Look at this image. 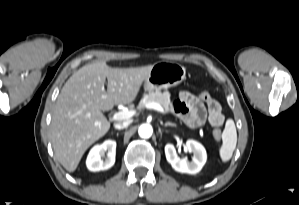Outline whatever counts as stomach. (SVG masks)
I'll use <instances>...</instances> for the list:
<instances>
[{
    "label": "stomach",
    "instance_id": "obj_1",
    "mask_svg": "<svg viewBox=\"0 0 299 205\" xmlns=\"http://www.w3.org/2000/svg\"><path fill=\"white\" fill-rule=\"evenodd\" d=\"M186 76L184 66L172 62H157L145 79V91L152 92L179 85Z\"/></svg>",
    "mask_w": 299,
    "mask_h": 205
}]
</instances>
